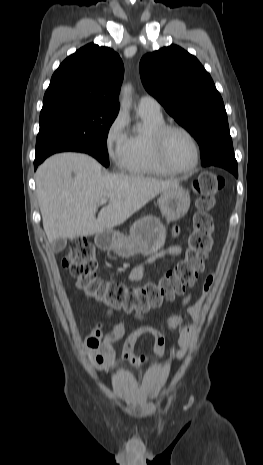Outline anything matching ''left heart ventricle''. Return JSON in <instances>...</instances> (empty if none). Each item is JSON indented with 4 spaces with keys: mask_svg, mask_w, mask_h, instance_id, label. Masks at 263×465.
I'll list each match as a JSON object with an SVG mask.
<instances>
[{
    "mask_svg": "<svg viewBox=\"0 0 263 465\" xmlns=\"http://www.w3.org/2000/svg\"><path fill=\"white\" fill-rule=\"evenodd\" d=\"M165 153L169 163L180 169L189 168L195 160L193 143L186 135L178 131H172L168 134Z\"/></svg>",
    "mask_w": 263,
    "mask_h": 465,
    "instance_id": "b2bd125f",
    "label": "left heart ventricle"
}]
</instances>
